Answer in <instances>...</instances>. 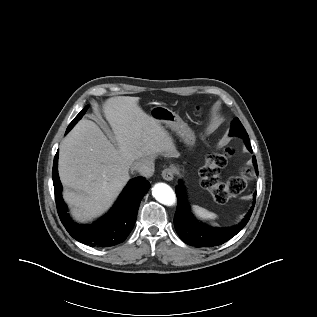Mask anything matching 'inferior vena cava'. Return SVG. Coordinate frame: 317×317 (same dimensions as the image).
<instances>
[{
    "mask_svg": "<svg viewBox=\"0 0 317 317\" xmlns=\"http://www.w3.org/2000/svg\"><path fill=\"white\" fill-rule=\"evenodd\" d=\"M132 170H135L142 176L149 178L154 173V163L152 160L147 159L136 161L132 166Z\"/></svg>",
    "mask_w": 317,
    "mask_h": 317,
    "instance_id": "1",
    "label": "inferior vena cava"
}]
</instances>
